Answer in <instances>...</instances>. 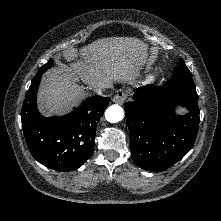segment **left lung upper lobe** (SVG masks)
I'll return each instance as SVG.
<instances>
[{"label": "left lung upper lobe", "mask_w": 221, "mask_h": 221, "mask_svg": "<svg viewBox=\"0 0 221 221\" xmlns=\"http://www.w3.org/2000/svg\"><path fill=\"white\" fill-rule=\"evenodd\" d=\"M174 76H191V72L189 71L182 59H179L178 64L173 70L172 77Z\"/></svg>", "instance_id": "left-lung-upper-lobe-1"}]
</instances>
